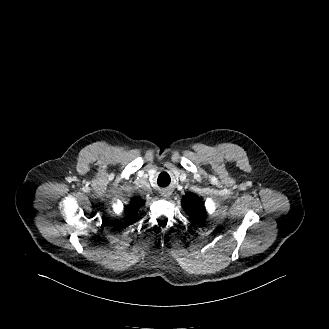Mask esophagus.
Instances as JSON below:
<instances>
[{
	"label": "esophagus",
	"mask_w": 329,
	"mask_h": 329,
	"mask_svg": "<svg viewBox=\"0 0 329 329\" xmlns=\"http://www.w3.org/2000/svg\"><path fill=\"white\" fill-rule=\"evenodd\" d=\"M170 194L171 193L167 190L162 192V196L165 197V198H168Z\"/></svg>",
	"instance_id": "esophagus-1"
}]
</instances>
